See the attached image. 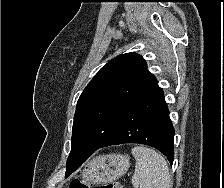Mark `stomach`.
<instances>
[{
	"mask_svg": "<svg viewBox=\"0 0 224 188\" xmlns=\"http://www.w3.org/2000/svg\"><path fill=\"white\" fill-rule=\"evenodd\" d=\"M129 166V157L125 155H99L86 163L81 177L90 183H107L123 176Z\"/></svg>",
	"mask_w": 224,
	"mask_h": 188,
	"instance_id": "stomach-1",
	"label": "stomach"
}]
</instances>
